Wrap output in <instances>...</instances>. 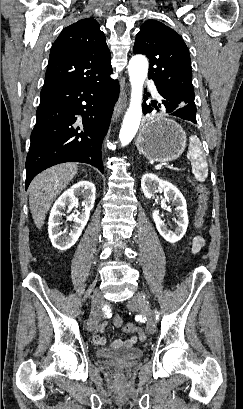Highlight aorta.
I'll use <instances>...</instances> for the list:
<instances>
[{"mask_svg": "<svg viewBox=\"0 0 243 409\" xmlns=\"http://www.w3.org/2000/svg\"><path fill=\"white\" fill-rule=\"evenodd\" d=\"M131 83V98L129 108L124 116L119 133L122 146L128 145L136 135L142 118L143 84L148 73V61L143 55H135L128 64Z\"/></svg>", "mask_w": 243, "mask_h": 409, "instance_id": "aorta-1", "label": "aorta"}]
</instances>
